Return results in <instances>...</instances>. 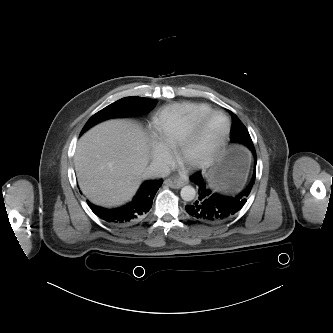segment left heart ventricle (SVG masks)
Here are the masks:
<instances>
[{"label": "left heart ventricle", "instance_id": "1", "mask_svg": "<svg viewBox=\"0 0 333 333\" xmlns=\"http://www.w3.org/2000/svg\"><path fill=\"white\" fill-rule=\"evenodd\" d=\"M224 125L225 120L220 116H216L208 121L191 150V156L202 157L207 154L213 142L221 134Z\"/></svg>", "mask_w": 333, "mask_h": 333}]
</instances>
